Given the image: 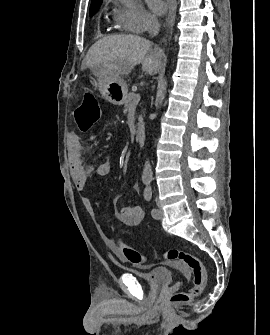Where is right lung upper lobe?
Here are the masks:
<instances>
[{"instance_id": "obj_1", "label": "right lung upper lobe", "mask_w": 270, "mask_h": 335, "mask_svg": "<svg viewBox=\"0 0 270 335\" xmlns=\"http://www.w3.org/2000/svg\"><path fill=\"white\" fill-rule=\"evenodd\" d=\"M102 0H92L91 5L101 3Z\"/></svg>"}]
</instances>
